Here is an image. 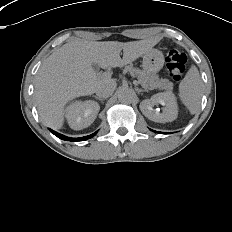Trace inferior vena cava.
<instances>
[{"instance_id":"obj_1","label":"inferior vena cava","mask_w":232,"mask_h":232,"mask_svg":"<svg viewBox=\"0 0 232 232\" xmlns=\"http://www.w3.org/2000/svg\"><path fill=\"white\" fill-rule=\"evenodd\" d=\"M116 82L113 80H104L96 89L97 96L101 98H108L116 89Z\"/></svg>"}]
</instances>
